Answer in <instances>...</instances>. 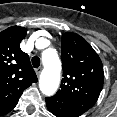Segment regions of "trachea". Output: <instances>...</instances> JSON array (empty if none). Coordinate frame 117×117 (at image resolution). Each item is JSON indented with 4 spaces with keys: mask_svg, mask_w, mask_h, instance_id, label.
I'll return each instance as SVG.
<instances>
[{
    "mask_svg": "<svg viewBox=\"0 0 117 117\" xmlns=\"http://www.w3.org/2000/svg\"><path fill=\"white\" fill-rule=\"evenodd\" d=\"M32 65L34 68H38L40 66V58L35 56L32 58Z\"/></svg>",
    "mask_w": 117,
    "mask_h": 117,
    "instance_id": "trachea-1",
    "label": "trachea"
}]
</instances>
